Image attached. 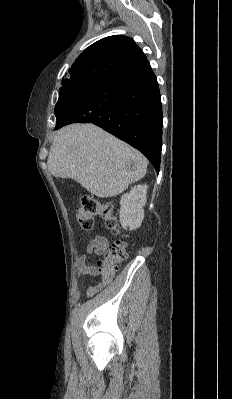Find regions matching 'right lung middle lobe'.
Segmentation results:
<instances>
[{
	"label": "right lung middle lobe",
	"mask_w": 232,
	"mask_h": 399,
	"mask_svg": "<svg viewBox=\"0 0 232 399\" xmlns=\"http://www.w3.org/2000/svg\"><path fill=\"white\" fill-rule=\"evenodd\" d=\"M104 79L99 78H79L71 80L60 88L59 99L55 106L56 118L61 108L69 101H73L82 96L87 91L96 87Z\"/></svg>",
	"instance_id": "1"
}]
</instances>
